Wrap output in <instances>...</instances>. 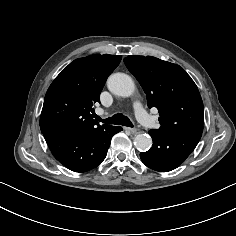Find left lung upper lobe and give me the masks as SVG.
I'll return each mask as SVG.
<instances>
[{"instance_id":"1","label":"left lung upper lobe","mask_w":236,"mask_h":236,"mask_svg":"<svg viewBox=\"0 0 236 236\" xmlns=\"http://www.w3.org/2000/svg\"><path fill=\"white\" fill-rule=\"evenodd\" d=\"M124 63L160 112L162 133L203 132L204 106L199 90L179 65L148 56H127Z\"/></svg>"}]
</instances>
